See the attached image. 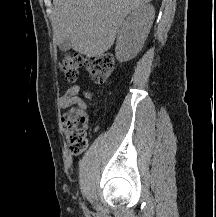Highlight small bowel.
I'll use <instances>...</instances> for the list:
<instances>
[{
  "label": "small bowel",
  "instance_id": "obj_1",
  "mask_svg": "<svg viewBox=\"0 0 216 217\" xmlns=\"http://www.w3.org/2000/svg\"><path fill=\"white\" fill-rule=\"evenodd\" d=\"M80 91L81 88L77 85L68 88L59 99V107L63 110H70L74 106H85L84 101L78 97ZM70 111L67 113L66 117L69 115Z\"/></svg>",
  "mask_w": 216,
  "mask_h": 217
}]
</instances>
